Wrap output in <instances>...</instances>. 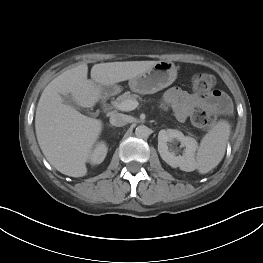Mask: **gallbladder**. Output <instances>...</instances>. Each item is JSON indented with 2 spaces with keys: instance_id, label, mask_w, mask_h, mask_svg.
Masks as SVG:
<instances>
[{
  "instance_id": "bac80fb5",
  "label": "gallbladder",
  "mask_w": 263,
  "mask_h": 263,
  "mask_svg": "<svg viewBox=\"0 0 263 263\" xmlns=\"http://www.w3.org/2000/svg\"><path fill=\"white\" fill-rule=\"evenodd\" d=\"M63 103L69 105L75 109L82 110L83 108L73 99V97L69 94L61 95Z\"/></svg>"
}]
</instances>
